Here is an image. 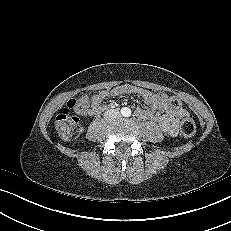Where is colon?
I'll use <instances>...</instances> for the list:
<instances>
[{"instance_id": "5ec220e1", "label": "colon", "mask_w": 231, "mask_h": 231, "mask_svg": "<svg viewBox=\"0 0 231 231\" xmlns=\"http://www.w3.org/2000/svg\"><path fill=\"white\" fill-rule=\"evenodd\" d=\"M168 102L173 109H182V102L178 98L170 97ZM73 110L77 113L83 112L80 101H69L67 106L61 109L55 118V129L62 138L70 137L78 124L79 119L72 113ZM179 128L181 134L186 138L192 137L196 132L195 122L188 116L181 119Z\"/></svg>"}]
</instances>
